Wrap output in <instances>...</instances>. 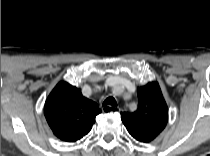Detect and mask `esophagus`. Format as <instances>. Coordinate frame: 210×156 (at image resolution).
Here are the masks:
<instances>
[{
	"mask_svg": "<svg viewBox=\"0 0 210 156\" xmlns=\"http://www.w3.org/2000/svg\"><path fill=\"white\" fill-rule=\"evenodd\" d=\"M102 109H103V112H105V113H109V112L113 111L112 106H104ZM118 110H120V109H118Z\"/></svg>",
	"mask_w": 210,
	"mask_h": 156,
	"instance_id": "obj_1",
	"label": "esophagus"
}]
</instances>
